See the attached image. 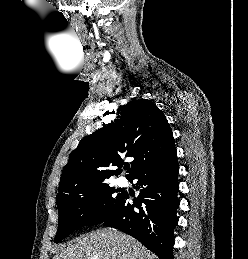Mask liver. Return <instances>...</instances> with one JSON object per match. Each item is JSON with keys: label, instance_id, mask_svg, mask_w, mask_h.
<instances>
[{"label": "liver", "instance_id": "1", "mask_svg": "<svg viewBox=\"0 0 248 259\" xmlns=\"http://www.w3.org/2000/svg\"><path fill=\"white\" fill-rule=\"evenodd\" d=\"M155 259L140 242L113 229H100L61 249L53 259Z\"/></svg>", "mask_w": 248, "mask_h": 259}]
</instances>
